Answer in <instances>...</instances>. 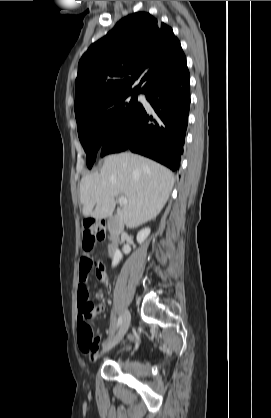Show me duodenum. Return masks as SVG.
I'll list each match as a JSON object with an SVG mask.
<instances>
[{
  "instance_id": "obj_1",
  "label": "duodenum",
  "mask_w": 271,
  "mask_h": 418,
  "mask_svg": "<svg viewBox=\"0 0 271 418\" xmlns=\"http://www.w3.org/2000/svg\"><path fill=\"white\" fill-rule=\"evenodd\" d=\"M121 238V232L120 231H113L112 235H111V243L109 245V252L113 253L118 245V242Z\"/></svg>"
}]
</instances>
